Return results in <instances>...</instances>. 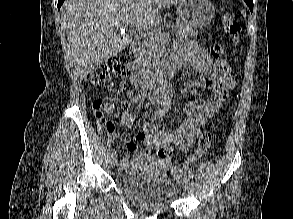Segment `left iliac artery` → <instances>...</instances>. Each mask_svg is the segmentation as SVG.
Segmentation results:
<instances>
[{"label": "left iliac artery", "instance_id": "1", "mask_svg": "<svg viewBox=\"0 0 293 219\" xmlns=\"http://www.w3.org/2000/svg\"><path fill=\"white\" fill-rule=\"evenodd\" d=\"M168 92L170 93L171 96L173 95L172 90H169ZM188 175H189V178H190L191 182H193V173H192L191 169L188 170Z\"/></svg>", "mask_w": 293, "mask_h": 219}]
</instances>
